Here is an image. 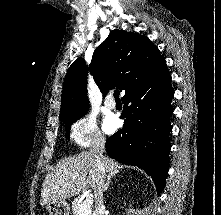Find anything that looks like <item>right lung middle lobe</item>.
Instances as JSON below:
<instances>
[{
    "label": "right lung middle lobe",
    "mask_w": 221,
    "mask_h": 215,
    "mask_svg": "<svg viewBox=\"0 0 221 215\" xmlns=\"http://www.w3.org/2000/svg\"><path fill=\"white\" fill-rule=\"evenodd\" d=\"M86 111H87V110H86ZM86 111H83V112H81V113L75 114V115H73V116H71V117H68V118L62 120V122L65 123V127H66V130H67V134H68V135H67V138H69V131H70L69 125L73 124V123H74L75 121H77L79 118H81L82 116H84Z\"/></svg>",
    "instance_id": "right-lung-middle-lobe-1"
}]
</instances>
